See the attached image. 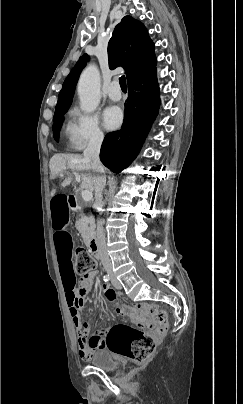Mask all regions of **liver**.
<instances>
[{
    "mask_svg": "<svg viewBox=\"0 0 243 404\" xmlns=\"http://www.w3.org/2000/svg\"><path fill=\"white\" fill-rule=\"evenodd\" d=\"M50 170L52 176H59L64 170H75V172H80V170H92L90 162H87L83 156H77V154H55L50 160ZM82 184L80 186L81 190H89L93 192L94 190V180L92 176H82ZM72 178H66L62 182L61 186H69L71 184ZM56 190H52L50 196H55Z\"/></svg>",
    "mask_w": 243,
    "mask_h": 404,
    "instance_id": "liver-1",
    "label": "liver"
}]
</instances>
